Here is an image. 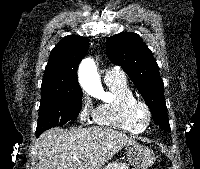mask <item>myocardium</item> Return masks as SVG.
Listing matches in <instances>:
<instances>
[{
    "label": "myocardium",
    "instance_id": "obj_1",
    "mask_svg": "<svg viewBox=\"0 0 200 169\" xmlns=\"http://www.w3.org/2000/svg\"><path fill=\"white\" fill-rule=\"evenodd\" d=\"M142 111L144 114H142ZM129 114L131 120L139 127L145 129L152 119V112L150 107L141 100H134L129 106Z\"/></svg>",
    "mask_w": 200,
    "mask_h": 169
}]
</instances>
